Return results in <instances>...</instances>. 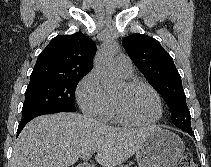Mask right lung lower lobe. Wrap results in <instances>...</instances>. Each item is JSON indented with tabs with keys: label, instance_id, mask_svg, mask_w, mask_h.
<instances>
[{
	"label": "right lung lower lobe",
	"instance_id": "right-lung-lower-lobe-1",
	"mask_svg": "<svg viewBox=\"0 0 211 167\" xmlns=\"http://www.w3.org/2000/svg\"><path fill=\"white\" fill-rule=\"evenodd\" d=\"M51 113H59L58 111H53V112H46V113H41V114H37V115H33L30 116L26 119H22L19 126H18V130H17V136L20 134V132L22 131V129L24 128V126L31 121L33 118L40 116V115H44V114H51Z\"/></svg>",
	"mask_w": 211,
	"mask_h": 167
}]
</instances>
